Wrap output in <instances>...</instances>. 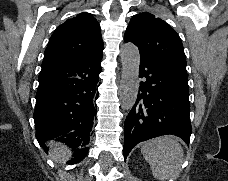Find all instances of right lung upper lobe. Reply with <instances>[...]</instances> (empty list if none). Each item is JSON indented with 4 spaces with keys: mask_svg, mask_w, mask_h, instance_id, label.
<instances>
[{
    "mask_svg": "<svg viewBox=\"0 0 228 181\" xmlns=\"http://www.w3.org/2000/svg\"><path fill=\"white\" fill-rule=\"evenodd\" d=\"M103 47L97 20L89 13H80L55 30L45 50L42 69L102 54Z\"/></svg>",
    "mask_w": 228,
    "mask_h": 181,
    "instance_id": "obj_1",
    "label": "right lung upper lobe"
}]
</instances>
